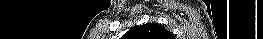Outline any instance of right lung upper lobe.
I'll return each mask as SVG.
<instances>
[{
	"instance_id": "right-lung-upper-lobe-1",
	"label": "right lung upper lobe",
	"mask_w": 263,
	"mask_h": 39,
	"mask_svg": "<svg viewBox=\"0 0 263 39\" xmlns=\"http://www.w3.org/2000/svg\"><path fill=\"white\" fill-rule=\"evenodd\" d=\"M173 34L158 23L137 26L123 35L127 39H173Z\"/></svg>"
}]
</instances>
